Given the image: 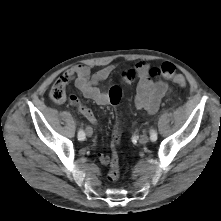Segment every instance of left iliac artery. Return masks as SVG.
<instances>
[{"label": "left iliac artery", "instance_id": "left-iliac-artery-1", "mask_svg": "<svg viewBox=\"0 0 221 221\" xmlns=\"http://www.w3.org/2000/svg\"><path fill=\"white\" fill-rule=\"evenodd\" d=\"M150 139L153 142L157 140V132L153 129L150 131Z\"/></svg>", "mask_w": 221, "mask_h": 221}]
</instances>
